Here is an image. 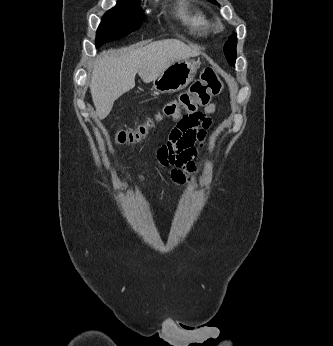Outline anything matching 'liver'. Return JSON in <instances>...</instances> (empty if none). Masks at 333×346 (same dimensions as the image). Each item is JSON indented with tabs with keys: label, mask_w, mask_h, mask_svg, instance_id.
<instances>
[{
	"label": "liver",
	"mask_w": 333,
	"mask_h": 346,
	"mask_svg": "<svg viewBox=\"0 0 333 346\" xmlns=\"http://www.w3.org/2000/svg\"><path fill=\"white\" fill-rule=\"evenodd\" d=\"M176 39H165L144 47L131 46L103 51L94 61L90 92L99 119H104L122 94L135 86L138 73L150 83L176 61L200 55Z\"/></svg>",
	"instance_id": "6515ba94"
}]
</instances>
